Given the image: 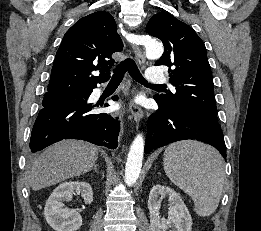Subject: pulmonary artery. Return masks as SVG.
<instances>
[{
	"label": "pulmonary artery",
	"instance_id": "obj_1",
	"mask_svg": "<svg viewBox=\"0 0 261 231\" xmlns=\"http://www.w3.org/2000/svg\"><path fill=\"white\" fill-rule=\"evenodd\" d=\"M147 80L157 84H163L166 81L165 76L158 67H150L147 69Z\"/></svg>",
	"mask_w": 261,
	"mask_h": 231
}]
</instances>
